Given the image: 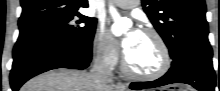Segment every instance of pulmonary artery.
<instances>
[{"mask_svg": "<svg viewBox=\"0 0 220 91\" xmlns=\"http://www.w3.org/2000/svg\"><path fill=\"white\" fill-rule=\"evenodd\" d=\"M113 3L121 8L124 9H131L136 7L139 4L138 0H117V1H113Z\"/></svg>", "mask_w": 220, "mask_h": 91, "instance_id": "1", "label": "pulmonary artery"}]
</instances>
